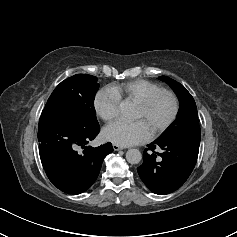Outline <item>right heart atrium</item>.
Instances as JSON below:
<instances>
[{"label": "right heart atrium", "mask_w": 237, "mask_h": 237, "mask_svg": "<svg viewBox=\"0 0 237 237\" xmlns=\"http://www.w3.org/2000/svg\"><path fill=\"white\" fill-rule=\"evenodd\" d=\"M93 105L96 114L110 122L118 115L120 99L110 88H103L96 93Z\"/></svg>", "instance_id": "obj_1"}]
</instances>
